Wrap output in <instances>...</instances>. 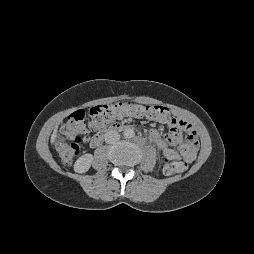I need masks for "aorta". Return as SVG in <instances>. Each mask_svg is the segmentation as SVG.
Here are the masks:
<instances>
[{
	"instance_id": "obj_1",
	"label": "aorta",
	"mask_w": 254,
	"mask_h": 254,
	"mask_svg": "<svg viewBox=\"0 0 254 254\" xmlns=\"http://www.w3.org/2000/svg\"><path fill=\"white\" fill-rule=\"evenodd\" d=\"M125 138H133L135 136V132L132 128H126L123 132Z\"/></svg>"
}]
</instances>
